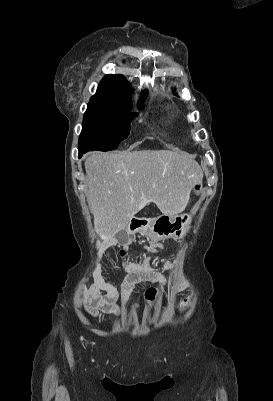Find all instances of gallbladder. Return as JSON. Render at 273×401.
Segmentation results:
<instances>
[{
  "label": "gallbladder",
  "instance_id": "gallbladder-1",
  "mask_svg": "<svg viewBox=\"0 0 273 401\" xmlns=\"http://www.w3.org/2000/svg\"><path fill=\"white\" fill-rule=\"evenodd\" d=\"M135 236V232H126L124 227H121L119 233H116V239H118L119 243H123L124 246H134L136 244Z\"/></svg>",
  "mask_w": 273,
  "mask_h": 401
}]
</instances>
